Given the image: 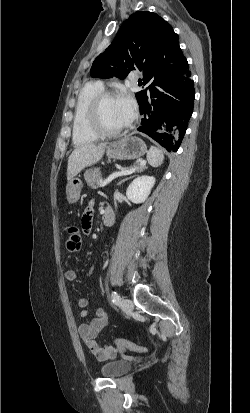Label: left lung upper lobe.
<instances>
[{"mask_svg": "<svg viewBox=\"0 0 250 413\" xmlns=\"http://www.w3.org/2000/svg\"><path fill=\"white\" fill-rule=\"evenodd\" d=\"M178 36L153 12H136L120 27L112 44L93 62L91 76L126 78L131 70L143 71L144 78L157 66L159 42ZM137 94V93H136Z\"/></svg>", "mask_w": 250, "mask_h": 413, "instance_id": "5c2ea615", "label": "left lung upper lobe"}]
</instances>
